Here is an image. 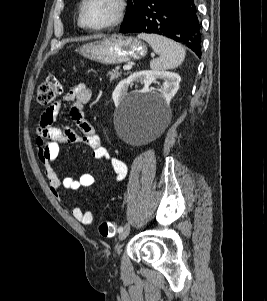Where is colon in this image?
<instances>
[{
    "instance_id": "colon-1",
    "label": "colon",
    "mask_w": 267,
    "mask_h": 301,
    "mask_svg": "<svg viewBox=\"0 0 267 301\" xmlns=\"http://www.w3.org/2000/svg\"><path fill=\"white\" fill-rule=\"evenodd\" d=\"M61 92L62 86L58 79L50 76L39 86L37 102L43 106L50 105ZM98 232L103 237H112L116 232V224L112 221H103L98 225Z\"/></svg>"
}]
</instances>
